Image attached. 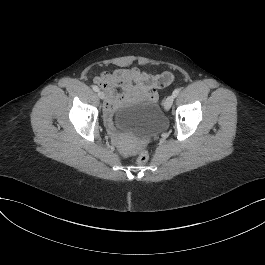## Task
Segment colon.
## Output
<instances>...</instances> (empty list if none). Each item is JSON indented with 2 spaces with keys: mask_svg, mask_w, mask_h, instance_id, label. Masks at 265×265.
Here are the masks:
<instances>
[{
  "mask_svg": "<svg viewBox=\"0 0 265 265\" xmlns=\"http://www.w3.org/2000/svg\"><path fill=\"white\" fill-rule=\"evenodd\" d=\"M149 160V154L147 150H142L136 159V163L140 166L145 165Z\"/></svg>",
  "mask_w": 265,
  "mask_h": 265,
  "instance_id": "colon-1",
  "label": "colon"
}]
</instances>
